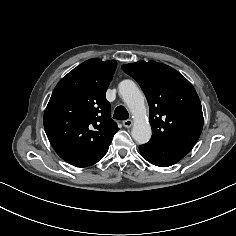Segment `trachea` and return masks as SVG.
<instances>
[{
    "mask_svg": "<svg viewBox=\"0 0 236 236\" xmlns=\"http://www.w3.org/2000/svg\"><path fill=\"white\" fill-rule=\"evenodd\" d=\"M113 118L116 120H127L129 118L128 111L124 106H118L115 109Z\"/></svg>",
    "mask_w": 236,
    "mask_h": 236,
    "instance_id": "1",
    "label": "trachea"
}]
</instances>
